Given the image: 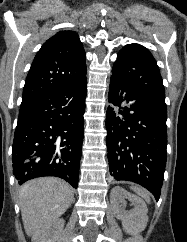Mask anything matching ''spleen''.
<instances>
[{"instance_id": "obj_1", "label": "spleen", "mask_w": 187, "mask_h": 242, "mask_svg": "<svg viewBox=\"0 0 187 242\" xmlns=\"http://www.w3.org/2000/svg\"><path fill=\"white\" fill-rule=\"evenodd\" d=\"M131 189L139 196H141L142 198H144L146 201H149L150 200V196L149 194L144 190V189H141L137 186H132Z\"/></svg>"}]
</instances>
